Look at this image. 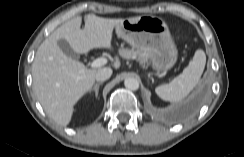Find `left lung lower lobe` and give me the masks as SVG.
Masks as SVG:
<instances>
[{"instance_id": "left-lung-lower-lobe-1", "label": "left lung lower lobe", "mask_w": 244, "mask_h": 157, "mask_svg": "<svg viewBox=\"0 0 244 157\" xmlns=\"http://www.w3.org/2000/svg\"><path fill=\"white\" fill-rule=\"evenodd\" d=\"M200 98L198 96L191 98L188 102H186L181 110V115H188L192 113L199 105Z\"/></svg>"}]
</instances>
